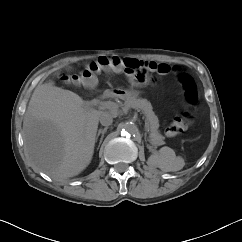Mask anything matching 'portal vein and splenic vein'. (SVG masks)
<instances>
[{
	"label": "portal vein and splenic vein",
	"instance_id": "1",
	"mask_svg": "<svg viewBox=\"0 0 242 242\" xmlns=\"http://www.w3.org/2000/svg\"><path fill=\"white\" fill-rule=\"evenodd\" d=\"M101 106L106 107L112 111H117V109H118V105L115 102H111V101L101 103ZM145 127H146V129H148L147 122H145Z\"/></svg>",
	"mask_w": 242,
	"mask_h": 242
}]
</instances>
